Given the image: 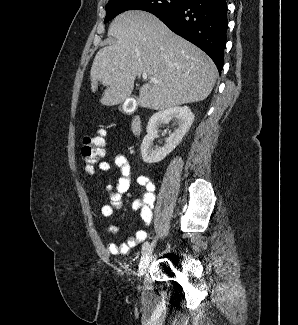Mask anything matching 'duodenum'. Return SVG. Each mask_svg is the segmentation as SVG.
Returning a JSON list of instances; mask_svg holds the SVG:
<instances>
[{
	"label": "duodenum",
	"instance_id": "duodenum-1",
	"mask_svg": "<svg viewBox=\"0 0 298 325\" xmlns=\"http://www.w3.org/2000/svg\"><path fill=\"white\" fill-rule=\"evenodd\" d=\"M131 131L135 136L140 135L142 131V122L139 116H135L131 121Z\"/></svg>",
	"mask_w": 298,
	"mask_h": 325
}]
</instances>
